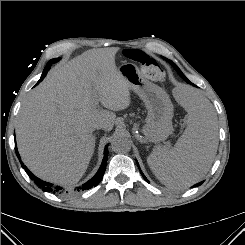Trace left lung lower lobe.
Instances as JSON below:
<instances>
[{"label":"left lung lower lobe","instance_id":"1","mask_svg":"<svg viewBox=\"0 0 245 245\" xmlns=\"http://www.w3.org/2000/svg\"><path fill=\"white\" fill-rule=\"evenodd\" d=\"M170 64H171L172 66H174V64H173L172 62H170ZM182 78H183L187 83H189V84L195 86V85H194L193 83H191V82H190L184 75H182ZM137 164H138V163H137ZM138 168H139V170H140L142 176L144 177V179L149 183V181H148L147 178L144 176V174L142 173V171H141V169H140L139 166H138ZM202 183H203V181H202V182H199L198 184H195L194 187H197L198 185H201Z\"/></svg>","mask_w":245,"mask_h":245}]
</instances>
